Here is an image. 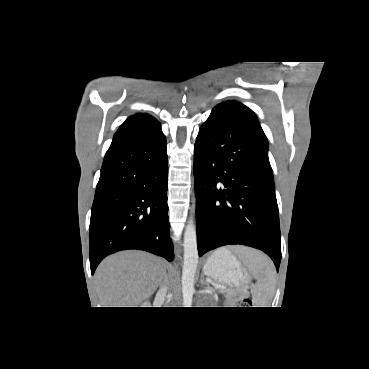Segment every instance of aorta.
Listing matches in <instances>:
<instances>
[{
  "instance_id": "762f6f07",
  "label": "aorta",
  "mask_w": 369,
  "mask_h": 369,
  "mask_svg": "<svg viewBox=\"0 0 369 369\" xmlns=\"http://www.w3.org/2000/svg\"><path fill=\"white\" fill-rule=\"evenodd\" d=\"M184 255L182 268V296L184 307H191L194 289V278L198 265V249L196 227L190 217L184 232Z\"/></svg>"
}]
</instances>
